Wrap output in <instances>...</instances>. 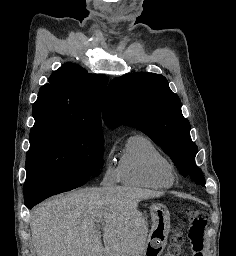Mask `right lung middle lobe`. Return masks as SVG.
<instances>
[{"mask_svg": "<svg viewBox=\"0 0 236 256\" xmlns=\"http://www.w3.org/2000/svg\"><path fill=\"white\" fill-rule=\"evenodd\" d=\"M103 154L101 131L67 124L34 125L26 154L24 198L98 176Z\"/></svg>", "mask_w": 236, "mask_h": 256, "instance_id": "dd1d6c3e", "label": "right lung middle lobe"}]
</instances>
